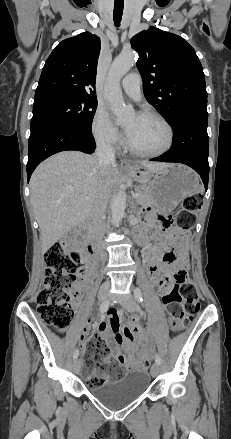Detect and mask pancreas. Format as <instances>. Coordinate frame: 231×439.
<instances>
[{
    "label": "pancreas",
    "mask_w": 231,
    "mask_h": 439,
    "mask_svg": "<svg viewBox=\"0 0 231 439\" xmlns=\"http://www.w3.org/2000/svg\"><path fill=\"white\" fill-rule=\"evenodd\" d=\"M137 193L139 194V196L136 199L138 204L148 205L153 203V198L148 190L143 188H138Z\"/></svg>",
    "instance_id": "pancreas-1"
}]
</instances>
